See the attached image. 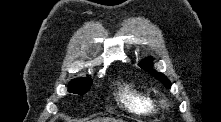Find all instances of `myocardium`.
I'll use <instances>...</instances> for the list:
<instances>
[{"label":"myocardium","mask_w":221,"mask_h":122,"mask_svg":"<svg viewBox=\"0 0 221 122\" xmlns=\"http://www.w3.org/2000/svg\"><path fill=\"white\" fill-rule=\"evenodd\" d=\"M158 103L163 108H167L169 106V100L163 95L159 97Z\"/></svg>","instance_id":"obj_1"}]
</instances>
